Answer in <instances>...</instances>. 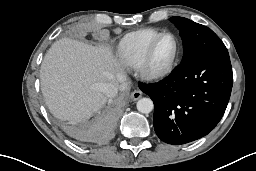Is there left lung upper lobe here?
Wrapping results in <instances>:
<instances>
[{
    "label": "left lung upper lobe",
    "instance_id": "obj_1",
    "mask_svg": "<svg viewBox=\"0 0 256 171\" xmlns=\"http://www.w3.org/2000/svg\"><path fill=\"white\" fill-rule=\"evenodd\" d=\"M170 20L180 30L183 40L182 61L202 52L226 50L223 42L208 27L183 17H171Z\"/></svg>",
    "mask_w": 256,
    "mask_h": 171
}]
</instances>
